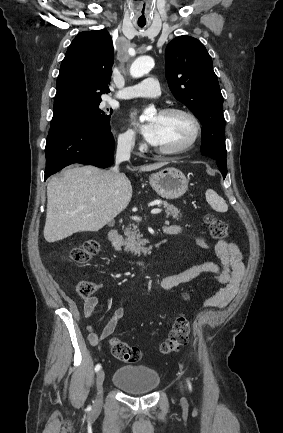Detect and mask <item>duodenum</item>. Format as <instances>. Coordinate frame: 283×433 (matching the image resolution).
<instances>
[{"label": "duodenum", "mask_w": 283, "mask_h": 433, "mask_svg": "<svg viewBox=\"0 0 283 433\" xmlns=\"http://www.w3.org/2000/svg\"><path fill=\"white\" fill-rule=\"evenodd\" d=\"M163 232L168 233L167 229L164 228ZM108 241L114 247H119L121 245V236L117 230H111L108 233ZM137 264L141 265L143 262H137Z\"/></svg>", "instance_id": "1"}]
</instances>
